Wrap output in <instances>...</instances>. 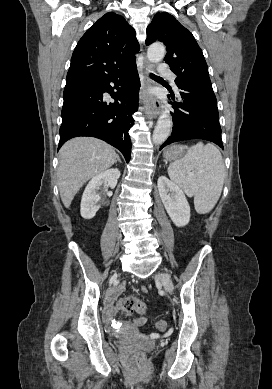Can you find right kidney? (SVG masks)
<instances>
[{
	"mask_svg": "<svg viewBox=\"0 0 272 389\" xmlns=\"http://www.w3.org/2000/svg\"><path fill=\"white\" fill-rule=\"evenodd\" d=\"M119 177L120 171L117 168H112L94 176L89 181L81 200L80 213L84 219H92L100 208L98 205L100 196L97 194L99 187L103 183H108L111 188H114Z\"/></svg>",
	"mask_w": 272,
	"mask_h": 389,
	"instance_id": "1",
	"label": "right kidney"
}]
</instances>
